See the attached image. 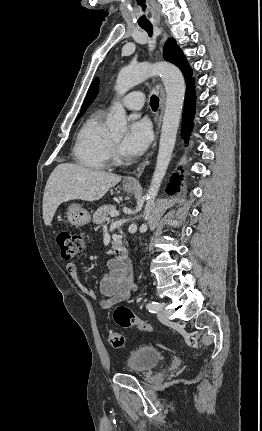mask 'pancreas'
<instances>
[{"instance_id": "cf45deb5", "label": "pancreas", "mask_w": 262, "mask_h": 431, "mask_svg": "<svg viewBox=\"0 0 262 431\" xmlns=\"http://www.w3.org/2000/svg\"><path fill=\"white\" fill-rule=\"evenodd\" d=\"M115 210L116 207L110 204L101 206L93 214V223L96 225L102 224L108 218V215Z\"/></svg>"}]
</instances>
